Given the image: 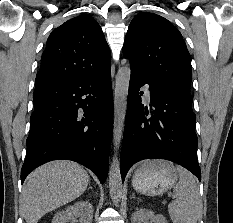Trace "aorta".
I'll list each match as a JSON object with an SVG mask.
<instances>
[{
	"mask_svg": "<svg viewBox=\"0 0 233 223\" xmlns=\"http://www.w3.org/2000/svg\"><path fill=\"white\" fill-rule=\"evenodd\" d=\"M130 76V68H120L116 76V86L114 90V155L112 163L109 167V189L111 199L112 201H114V203H118L122 195V177L120 171V161L118 159V149L122 137V131L127 110V96Z\"/></svg>",
	"mask_w": 233,
	"mask_h": 223,
	"instance_id": "aorta-1",
	"label": "aorta"
}]
</instances>
